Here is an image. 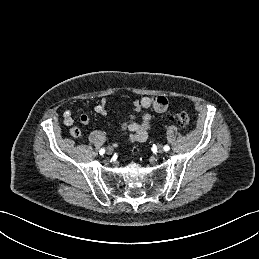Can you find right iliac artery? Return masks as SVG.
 I'll return each instance as SVG.
<instances>
[{"label": "right iliac artery", "instance_id": "right-iliac-artery-1", "mask_svg": "<svg viewBox=\"0 0 259 259\" xmlns=\"http://www.w3.org/2000/svg\"><path fill=\"white\" fill-rule=\"evenodd\" d=\"M99 153L102 155V154L105 153V150H104V149H101V150L99 151Z\"/></svg>", "mask_w": 259, "mask_h": 259}]
</instances>
